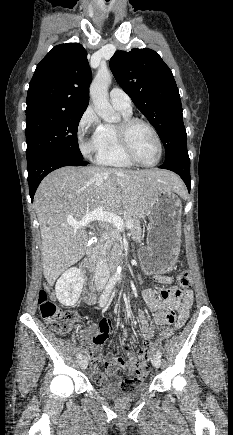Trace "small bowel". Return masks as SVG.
<instances>
[{"label": "small bowel", "instance_id": "1", "mask_svg": "<svg viewBox=\"0 0 233 435\" xmlns=\"http://www.w3.org/2000/svg\"><path fill=\"white\" fill-rule=\"evenodd\" d=\"M154 278H156L161 285L145 289L142 292V297L149 309L153 312L157 327L150 324L149 319L144 313L139 312V319L142 323L140 330L144 347L139 351L138 357L128 352L127 361H125L122 358L115 357L112 352H109L104 364L107 373L104 374L97 367L96 362L101 356L103 344L111 333L112 322L108 318H102L98 325L88 323L78 329L80 349H84L85 354L93 361L91 365V376L97 384L121 383V377L117 369H125L127 372L138 369L137 380L145 379L149 372L146 359L155 348L147 346V343L154 336H157L158 343L163 341L186 321L188 309L193 301L192 291L180 286H167L172 282L170 276L154 275ZM93 335H96V338L93 342H90ZM124 338L134 341V334L125 331ZM123 349L127 352V345L123 344Z\"/></svg>", "mask_w": 233, "mask_h": 435}]
</instances>
